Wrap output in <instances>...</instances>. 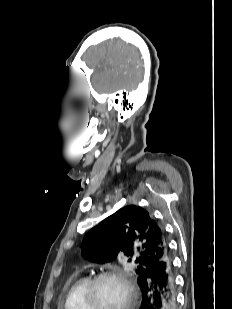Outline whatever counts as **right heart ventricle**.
Here are the masks:
<instances>
[{
    "label": "right heart ventricle",
    "mask_w": 232,
    "mask_h": 309,
    "mask_svg": "<svg viewBox=\"0 0 232 309\" xmlns=\"http://www.w3.org/2000/svg\"><path fill=\"white\" fill-rule=\"evenodd\" d=\"M89 280L88 277H81L74 282L67 293L64 309H88L84 295Z\"/></svg>",
    "instance_id": "1"
}]
</instances>
